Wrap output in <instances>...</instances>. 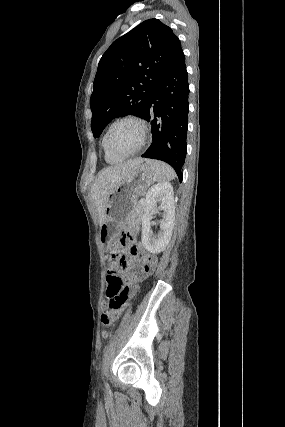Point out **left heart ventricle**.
I'll use <instances>...</instances> for the list:
<instances>
[{
	"mask_svg": "<svg viewBox=\"0 0 285 427\" xmlns=\"http://www.w3.org/2000/svg\"><path fill=\"white\" fill-rule=\"evenodd\" d=\"M141 131L133 122H122L115 125L109 135V144L115 151L127 153L140 142Z\"/></svg>",
	"mask_w": 285,
	"mask_h": 427,
	"instance_id": "b2bd125f",
	"label": "left heart ventricle"
}]
</instances>
